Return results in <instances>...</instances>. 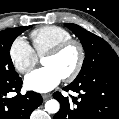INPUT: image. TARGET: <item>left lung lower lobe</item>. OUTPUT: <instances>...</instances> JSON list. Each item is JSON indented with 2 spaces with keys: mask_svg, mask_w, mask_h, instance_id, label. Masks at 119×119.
Segmentation results:
<instances>
[{
  "mask_svg": "<svg viewBox=\"0 0 119 119\" xmlns=\"http://www.w3.org/2000/svg\"><path fill=\"white\" fill-rule=\"evenodd\" d=\"M79 93V99L55 92L60 110L53 119H119V69L105 70L91 78L73 81L64 88Z\"/></svg>",
  "mask_w": 119,
  "mask_h": 119,
  "instance_id": "1",
  "label": "left lung lower lobe"
}]
</instances>
